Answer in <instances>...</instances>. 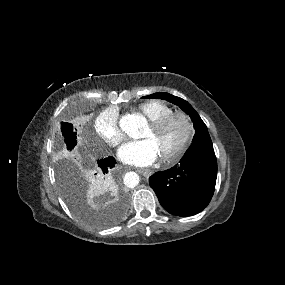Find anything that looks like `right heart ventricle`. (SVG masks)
<instances>
[{"label": "right heart ventricle", "instance_id": "e07e8e85", "mask_svg": "<svg viewBox=\"0 0 285 285\" xmlns=\"http://www.w3.org/2000/svg\"><path fill=\"white\" fill-rule=\"evenodd\" d=\"M138 111L151 121L171 112L172 108L162 101L149 100L141 103Z\"/></svg>", "mask_w": 285, "mask_h": 285}]
</instances>
